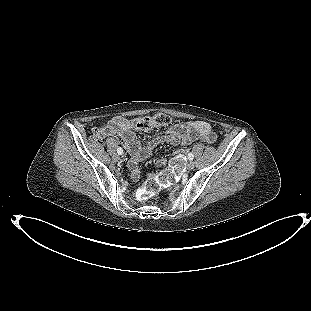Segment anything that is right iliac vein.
I'll return each instance as SVG.
<instances>
[{"label": "right iliac vein", "mask_w": 311, "mask_h": 311, "mask_svg": "<svg viewBox=\"0 0 311 311\" xmlns=\"http://www.w3.org/2000/svg\"><path fill=\"white\" fill-rule=\"evenodd\" d=\"M113 159H114V161H116V162L119 160V158H118V157H116V156H115V157H113Z\"/></svg>", "instance_id": "63e3f726"}]
</instances>
